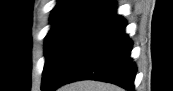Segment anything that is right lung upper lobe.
Listing matches in <instances>:
<instances>
[{
    "mask_svg": "<svg viewBox=\"0 0 173 91\" xmlns=\"http://www.w3.org/2000/svg\"><path fill=\"white\" fill-rule=\"evenodd\" d=\"M107 0H59L52 10L50 22L53 24L66 22L86 23L101 12L111 8L104 6Z\"/></svg>",
    "mask_w": 173,
    "mask_h": 91,
    "instance_id": "cb5924a9",
    "label": "right lung upper lobe"
}]
</instances>
